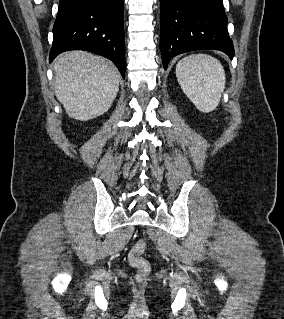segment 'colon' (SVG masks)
Listing matches in <instances>:
<instances>
[{"label":"colon","mask_w":284,"mask_h":319,"mask_svg":"<svg viewBox=\"0 0 284 319\" xmlns=\"http://www.w3.org/2000/svg\"><path fill=\"white\" fill-rule=\"evenodd\" d=\"M146 242L140 240L134 244L129 252L130 264L138 270V279L143 280L150 271L149 262L143 257Z\"/></svg>","instance_id":"1"}]
</instances>
